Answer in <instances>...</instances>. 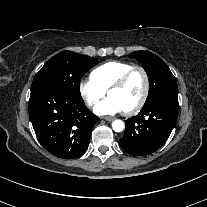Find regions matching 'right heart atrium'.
I'll return each instance as SVG.
<instances>
[{
    "label": "right heart atrium",
    "instance_id": "obj_1",
    "mask_svg": "<svg viewBox=\"0 0 207 207\" xmlns=\"http://www.w3.org/2000/svg\"><path fill=\"white\" fill-rule=\"evenodd\" d=\"M79 93L85 103L92 107L105 95L106 89L100 86L91 76L80 81Z\"/></svg>",
    "mask_w": 207,
    "mask_h": 207
}]
</instances>
